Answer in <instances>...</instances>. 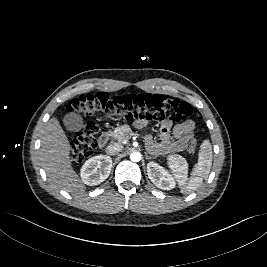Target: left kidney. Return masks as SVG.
Returning <instances> with one entry per match:
<instances>
[{"mask_svg":"<svg viewBox=\"0 0 267 267\" xmlns=\"http://www.w3.org/2000/svg\"><path fill=\"white\" fill-rule=\"evenodd\" d=\"M147 174L151 182L158 188L163 190H171L175 188L174 177L162 166L156 162L147 164Z\"/></svg>","mask_w":267,"mask_h":267,"instance_id":"obj_1","label":"left kidney"}]
</instances>
